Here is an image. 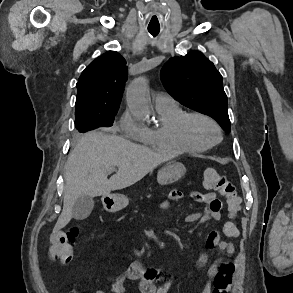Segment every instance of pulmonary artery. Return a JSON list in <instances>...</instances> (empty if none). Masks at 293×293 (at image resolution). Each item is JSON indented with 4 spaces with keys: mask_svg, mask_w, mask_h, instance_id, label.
Instances as JSON below:
<instances>
[{
    "mask_svg": "<svg viewBox=\"0 0 293 293\" xmlns=\"http://www.w3.org/2000/svg\"><path fill=\"white\" fill-rule=\"evenodd\" d=\"M154 103L156 108L169 106L175 104V100L166 93H157L154 96Z\"/></svg>",
    "mask_w": 293,
    "mask_h": 293,
    "instance_id": "1",
    "label": "pulmonary artery"
}]
</instances>
